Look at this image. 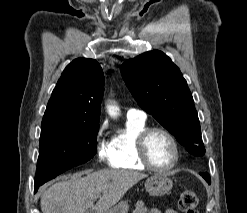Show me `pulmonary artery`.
<instances>
[{
	"label": "pulmonary artery",
	"instance_id": "pulmonary-artery-1",
	"mask_svg": "<svg viewBox=\"0 0 247 213\" xmlns=\"http://www.w3.org/2000/svg\"><path fill=\"white\" fill-rule=\"evenodd\" d=\"M127 118L145 120L146 113L142 110L131 108L127 111Z\"/></svg>",
	"mask_w": 247,
	"mask_h": 213
}]
</instances>
